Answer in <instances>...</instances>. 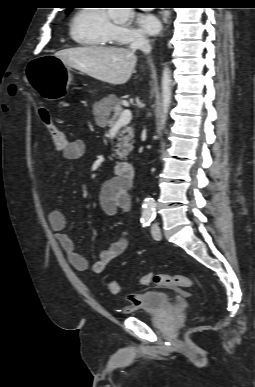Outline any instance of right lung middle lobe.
Here are the masks:
<instances>
[{"label":"right lung middle lobe","mask_w":255,"mask_h":387,"mask_svg":"<svg viewBox=\"0 0 255 387\" xmlns=\"http://www.w3.org/2000/svg\"><path fill=\"white\" fill-rule=\"evenodd\" d=\"M70 11H71V9H68V10H67V13H69Z\"/></svg>","instance_id":"1"}]
</instances>
